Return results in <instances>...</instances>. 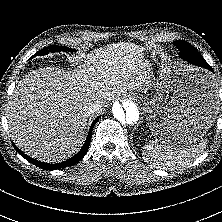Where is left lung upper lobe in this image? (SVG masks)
Returning <instances> with one entry per match:
<instances>
[{
  "label": "left lung upper lobe",
  "mask_w": 222,
  "mask_h": 222,
  "mask_svg": "<svg viewBox=\"0 0 222 222\" xmlns=\"http://www.w3.org/2000/svg\"><path fill=\"white\" fill-rule=\"evenodd\" d=\"M174 45L180 50L179 56L183 59L190 57L198 62H201L204 66H210L202 57V55L197 51V49L186 41L179 40L174 41Z\"/></svg>",
  "instance_id": "5c2ea615"
}]
</instances>
